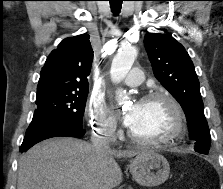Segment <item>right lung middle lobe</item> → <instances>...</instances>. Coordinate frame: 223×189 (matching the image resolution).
<instances>
[{"label":"right lung middle lobe","instance_id":"1","mask_svg":"<svg viewBox=\"0 0 223 189\" xmlns=\"http://www.w3.org/2000/svg\"><path fill=\"white\" fill-rule=\"evenodd\" d=\"M88 88L39 92L34 116L64 120L82 128Z\"/></svg>","mask_w":223,"mask_h":189}]
</instances>
